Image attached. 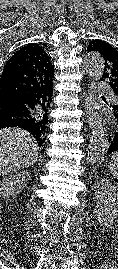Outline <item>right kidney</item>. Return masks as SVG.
<instances>
[{
	"label": "right kidney",
	"instance_id": "ca27d5eb",
	"mask_svg": "<svg viewBox=\"0 0 118 269\" xmlns=\"http://www.w3.org/2000/svg\"><path fill=\"white\" fill-rule=\"evenodd\" d=\"M30 179V173L28 171L18 172L13 175L5 177L1 184L2 195L5 199L10 196H16L27 185Z\"/></svg>",
	"mask_w": 118,
	"mask_h": 269
}]
</instances>
